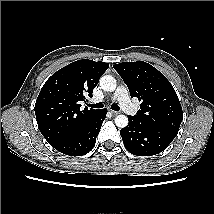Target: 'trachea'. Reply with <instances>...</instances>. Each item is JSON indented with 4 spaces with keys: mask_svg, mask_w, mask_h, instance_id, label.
I'll list each match as a JSON object with an SVG mask.
<instances>
[{
    "mask_svg": "<svg viewBox=\"0 0 214 214\" xmlns=\"http://www.w3.org/2000/svg\"><path fill=\"white\" fill-rule=\"evenodd\" d=\"M89 106L92 108H103L104 107L103 103L89 104ZM111 109L115 110V111H119L120 107L117 104H112Z\"/></svg>",
    "mask_w": 214,
    "mask_h": 214,
    "instance_id": "trachea-1",
    "label": "trachea"
}]
</instances>
